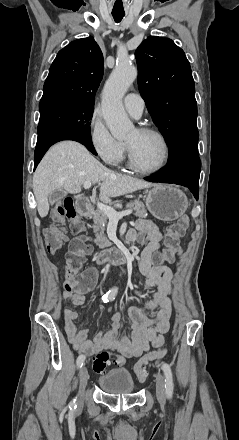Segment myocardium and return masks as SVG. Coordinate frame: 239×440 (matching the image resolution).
<instances>
[{"instance_id":"1","label":"myocardium","mask_w":239,"mask_h":440,"mask_svg":"<svg viewBox=\"0 0 239 440\" xmlns=\"http://www.w3.org/2000/svg\"><path fill=\"white\" fill-rule=\"evenodd\" d=\"M137 130L141 133L153 134L161 140V142L163 143V146H164V159H163L162 163L157 168L144 169L137 164L132 149L126 143L128 164H129L130 168L132 170H134L135 172L143 174V175H154V174L161 172L167 166V164L170 160V157H171V145H170L168 138L165 136L164 133H162L160 130H158L157 128H154V127L141 126V127H138Z\"/></svg>"}]
</instances>
